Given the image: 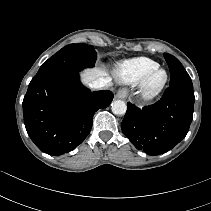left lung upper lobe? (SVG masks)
Masks as SVG:
<instances>
[{"instance_id": "left-lung-upper-lobe-1", "label": "left lung upper lobe", "mask_w": 211, "mask_h": 211, "mask_svg": "<svg viewBox=\"0 0 211 211\" xmlns=\"http://www.w3.org/2000/svg\"><path fill=\"white\" fill-rule=\"evenodd\" d=\"M165 60L170 69V86H190L192 81L182 64L174 56L164 53Z\"/></svg>"}]
</instances>
